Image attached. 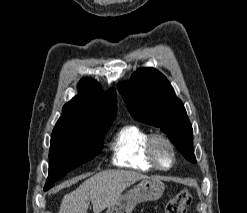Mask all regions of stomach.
Here are the masks:
<instances>
[{
	"label": "stomach",
	"instance_id": "stomach-1",
	"mask_svg": "<svg viewBox=\"0 0 247 213\" xmlns=\"http://www.w3.org/2000/svg\"><path fill=\"white\" fill-rule=\"evenodd\" d=\"M164 188L163 182L158 178L143 179L109 205L106 213H131L134 207L141 202L158 200Z\"/></svg>",
	"mask_w": 247,
	"mask_h": 213
}]
</instances>
